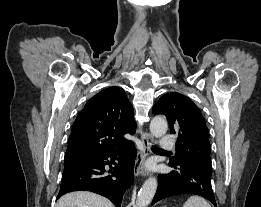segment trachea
I'll use <instances>...</instances> for the list:
<instances>
[{
  "mask_svg": "<svg viewBox=\"0 0 261 207\" xmlns=\"http://www.w3.org/2000/svg\"><path fill=\"white\" fill-rule=\"evenodd\" d=\"M152 150H159V151H163L162 149L160 148H157V147H151Z\"/></svg>",
  "mask_w": 261,
  "mask_h": 207,
  "instance_id": "obj_1",
  "label": "trachea"
}]
</instances>
